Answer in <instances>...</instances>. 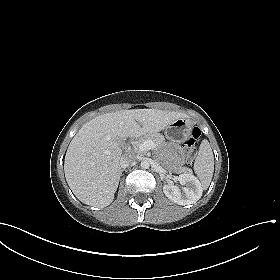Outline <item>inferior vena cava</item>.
<instances>
[{
	"label": "inferior vena cava",
	"mask_w": 280,
	"mask_h": 280,
	"mask_svg": "<svg viewBox=\"0 0 280 280\" xmlns=\"http://www.w3.org/2000/svg\"><path fill=\"white\" fill-rule=\"evenodd\" d=\"M137 162V158L133 154H124L120 158L119 164L122 169H125L131 165H134Z\"/></svg>",
	"instance_id": "1"
}]
</instances>
